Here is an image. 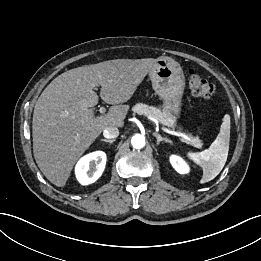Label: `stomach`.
<instances>
[{"label":"stomach","instance_id":"obj_1","mask_svg":"<svg viewBox=\"0 0 261 261\" xmlns=\"http://www.w3.org/2000/svg\"><path fill=\"white\" fill-rule=\"evenodd\" d=\"M149 77L155 93L163 100V109L178 118L182 109L185 77L180 64L170 57H159Z\"/></svg>","mask_w":261,"mask_h":261}]
</instances>
